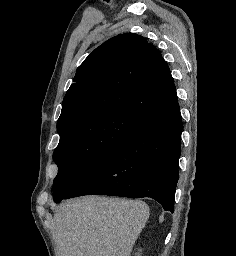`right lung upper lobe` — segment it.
I'll list each match as a JSON object with an SVG mask.
<instances>
[{"mask_svg":"<svg viewBox=\"0 0 236 256\" xmlns=\"http://www.w3.org/2000/svg\"><path fill=\"white\" fill-rule=\"evenodd\" d=\"M74 82L62 102L58 132L115 111L146 121L177 102L160 51L135 33L117 35L96 48L79 67Z\"/></svg>","mask_w":236,"mask_h":256,"instance_id":"cb5924a9","label":"right lung upper lobe"}]
</instances>
